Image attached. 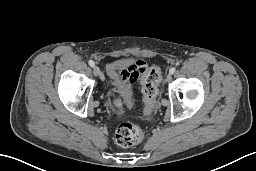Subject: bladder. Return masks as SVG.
<instances>
[{"mask_svg":"<svg viewBox=\"0 0 256 171\" xmlns=\"http://www.w3.org/2000/svg\"><path fill=\"white\" fill-rule=\"evenodd\" d=\"M108 75L111 82V87L122 101L129 106H132L134 98V88L131 82L123 79L113 67L108 69Z\"/></svg>","mask_w":256,"mask_h":171,"instance_id":"1","label":"bladder"}]
</instances>
